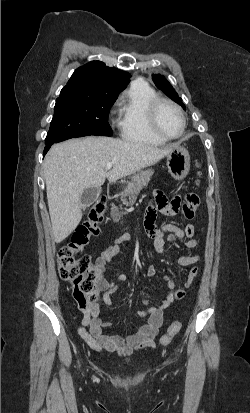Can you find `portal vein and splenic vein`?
Listing matches in <instances>:
<instances>
[{
  "label": "portal vein and splenic vein",
  "instance_id": "18ae733b",
  "mask_svg": "<svg viewBox=\"0 0 250 413\" xmlns=\"http://www.w3.org/2000/svg\"><path fill=\"white\" fill-rule=\"evenodd\" d=\"M112 163H108L105 167L106 170H110L112 168Z\"/></svg>",
  "mask_w": 250,
  "mask_h": 413
}]
</instances>
